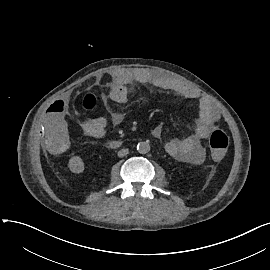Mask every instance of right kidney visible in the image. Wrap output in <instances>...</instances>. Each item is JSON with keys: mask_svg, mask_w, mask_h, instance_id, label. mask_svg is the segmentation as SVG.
Returning a JSON list of instances; mask_svg holds the SVG:
<instances>
[{"mask_svg": "<svg viewBox=\"0 0 270 270\" xmlns=\"http://www.w3.org/2000/svg\"><path fill=\"white\" fill-rule=\"evenodd\" d=\"M68 168L72 173L80 174L84 171L85 164L80 156H72L68 161Z\"/></svg>", "mask_w": 270, "mask_h": 270, "instance_id": "obj_1", "label": "right kidney"}]
</instances>
